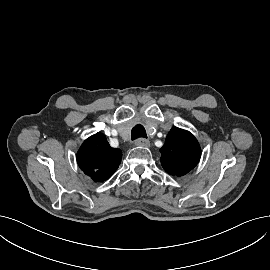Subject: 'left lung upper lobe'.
<instances>
[{"instance_id":"5c2ea615","label":"left lung upper lobe","mask_w":270,"mask_h":270,"mask_svg":"<svg viewBox=\"0 0 270 270\" xmlns=\"http://www.w3.org/2000/svg\"><path fill=\"white\" fill-rule=\"evenodd\" d=\"M161 164L171 175L187 174L199 162L201 149L196 138L188 131L174 127L160 149Z\"/></svg>"}]
</instances>
